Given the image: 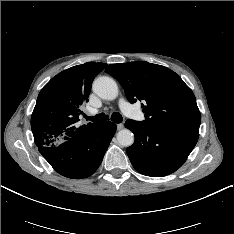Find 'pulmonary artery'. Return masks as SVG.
Listing matches in <instances>:
<instances>
[{
  "label": "pulmonary artery",
  "instance_id": "obj_1",
  "mask_svg": "<svg viewBox=\"0 0 234 234\" xmlns=\"http://www.w3.org/2000/svg\"><path fill=\"white\" fill-rule=\"evenodd\" d=\"M119 106L121 108V110L127 114V115H132V109H131V106L130 104L126 101V100H120L119 102ZM89 113L91 115H95L97 113V110L96 109H90L89 110Z\"/></svg>",
  "mask_w": 234,
  "mask_h": 234
}]
</instances>
